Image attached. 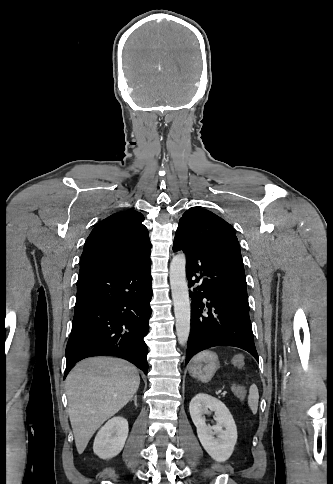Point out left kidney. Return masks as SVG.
<instances>
[{"label": "left kidney", "instance_id": "left-kidney-1", "mask_svg": "<svg viewBox=\"0 0 333 484\" xmlns=\"http://www.w3.org/2000/svg\"><path fill=\"white\" fill-rule=\"evenodd\" d=\"M189 412L206 452L218 462L228 460L237 442V428L224 403L208 394L199 393L191 400ZM210 412H214L217 421L214 426L206 424L204 415Z\"/></svg>", "mask_w": 333, "mask_h": 484}]
</instances>
